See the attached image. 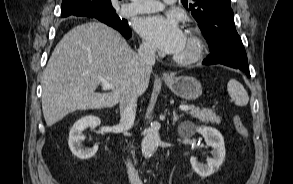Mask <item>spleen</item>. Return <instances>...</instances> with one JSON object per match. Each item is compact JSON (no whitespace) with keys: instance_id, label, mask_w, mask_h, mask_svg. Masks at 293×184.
Returning <instances> with one entry per match:
<instances>
[{"instance_id":"1","label":"spleen","mask_w":293,"mask_h":184,"mask_svg":"<svg viewBox=\"0 0 293 184\" xmlns=\"http://www.w3.org/2000/svg\"><path fill=\"white\" fill-rule=\"evenodd\" d=\"M227 90L237 106H245L248 104L249 96L243 85L236 79H231L227 84Z\"/></svg>"}]
</instances>
